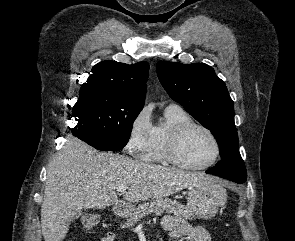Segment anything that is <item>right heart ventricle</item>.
<instances>
[{
    "label": "right heart ventricle",
    "mask_w": 295,
    "mask_h": 241,
    "mask_svg": "<svg viewBox=\"0 0 295 241\" xmlns=\"http://www.w3.org/2000/svg\"><path fill=\"white\" fill-rule=\"evenodd\" d=\"M166 120L164 123L153 126L151 139L142 159L149 162L162 163L167 161L164 153L165 141L168 133L175 126L191 121L190 116L178 107H167L165 110Z\"/></svg>",
    "instance_id": "e07e8e85"
}]
</instances>
